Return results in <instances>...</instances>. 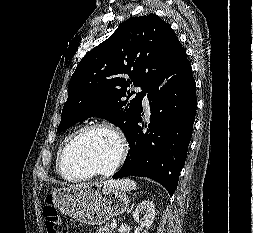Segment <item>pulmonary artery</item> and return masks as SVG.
<instances>
[{"instance_id": "pulmonary-artery-1", "label": "pulmonary artery", "mask_w": 253, "mask_h": 233, "mask_svg": "<svg viewBox=\"0 0 253 233\" xmlns=\"http://www.w3.org/2000/svg\"><path fill=\"white\" fill-rule=\"evenodd\" d=\"M135 91L137 93H140L142 92V87H136ZM143 103L146 107H148V104H149V100H148V96H147V93H144V96H143Z\"/></svg>"}]
</instances>
